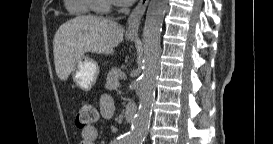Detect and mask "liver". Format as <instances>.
<instances>
[{"mask_svg":"<svg viewBox=\"0 0 273 144\" xmlns=\"http://www.w3.org/2000/svg\"><path fill=\"white\" fill-rule=\"evenodd\" d=\"M124 28L115 21L95 16H77L63 23L53 40L55 70L66 80L76 62L87 52L112 55L122 42Z\"/></svg>","mask_w":273,"mask_h":144,"instance_id":"6515ba94","label":"liver"}]
</instances>
